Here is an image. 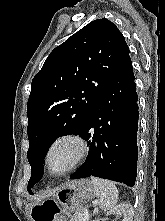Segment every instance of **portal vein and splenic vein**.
Listing matches in <instances>:
<instances>
[{
    "mask_svg": "<svg viewBox=\"0 0 165 221\" xmlns=\"http://www.w3.org/2000/svg\"><path fill=\"white\" fill-rule=\"evenodd\" d=\"M87 219H88V210H87V209H85L84 221H87Z\"/></svg>",
    "mask_w": 165,
    "mask_h": 221,
    "instance_id": "1",
    "label": "portal vein and splenic vein"
}]
</instances>
